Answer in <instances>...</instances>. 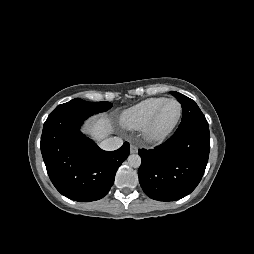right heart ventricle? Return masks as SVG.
Masks as SVG:
<instances>
[{
    "mask_svg": "<svg viewBox=\"0 0 254 254\" xmlns=\"http://www.w3.org/2000/svg\"><path fill=\"white\" fill-rule=\"evenodd\" d=\"M164 99V97L148 98L124 110L120 116L121 124L131 130L142 129Z\"/></svg>",
    "mask_w": 254,
    "mask_h": 254,
    "instance_id": "right-heart-ventricle-1",
    "label": "right heart ventricle"
}]
</instances>
